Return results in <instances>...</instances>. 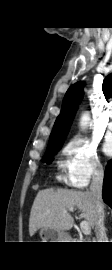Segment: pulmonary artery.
<instances>
[{"label":"pulmonary artery","instance_id":"pulmonary-artery-1","mask_svg":"<svg viewBox=\"0 0 112 270\" xmlns=\"http://www.w3.org/2000/svg\"><path fill=\"white\" fill-rule=\"evenodd\" d=\"M107 127L112 131V111L110 112V121L108 122Z\"/></svg>","mask_w":112,"mask_h":270}]
</instances>
